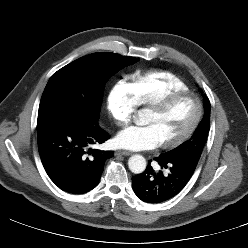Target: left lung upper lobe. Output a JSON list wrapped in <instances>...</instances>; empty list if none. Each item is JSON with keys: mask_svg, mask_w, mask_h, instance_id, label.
Returning <instances> with one entry per match:
<instances>
[{"mask_svg": "<svg viewBox=\"0 0 248 248\" xmlns=\"http://www.w3.org/2000/svg\"><path fill=\"white\" fill-rule=\"evenodd\" d=\"M210 129V102L205 98V115L195 130L193 136L186 142L182 143L175 149L162 153L163 156L176 159L195 158L200 159L205 146Z\"/></svg>", "mask_w": 248, "mask_h": 248, "instance_id": "1", "label": "left lung upper lobe"}]
</instances>
